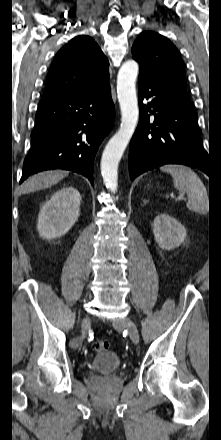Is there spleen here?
<instances>
[{
	"label": "spleen",
	"instance_id": "obj_1",
	"mask_svg": "<svg viewBox=\"0 0 221 440\" xmlns=\"http://www.w3.org/2000/svg\"><path fill=\"white\" fill-rule=\"evenodd\" d=\"M161 171L169 173L173 184L179 191L186 192L188 196L187 207L189 210L206 214L208 212V194L198 175L189 167L183 165H164Z\"/></svg>",
	"mask_w": 221,
	"mask_h": 440
}]
</instances>
